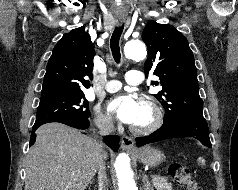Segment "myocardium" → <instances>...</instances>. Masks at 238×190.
Masks as SVG:
<instances>
[{"instance_id": "obj_1", "label": "myocardium", "mask_w": 238, "mask_h": 190, "mask_svg": "<svg viewBox=\"0 0 238 190\" xmlns=\"http://www.w3.org/2000/svg\"><path fill=\"white\" fill-rule=\"evenodd\" d=\"M139 102L145 105L151 113V120L144 126H130V131L136 135H148L156 131L163 122V112L159 104L150 96H141Z\"/></svg>"}]
</instances>
